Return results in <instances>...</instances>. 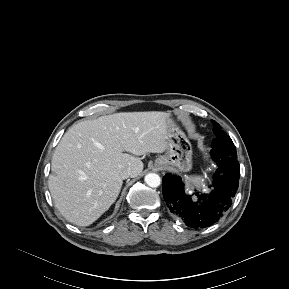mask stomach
I'll return each mask as SVG.
<instances>
[{
  "label": "stomach",
  "instance_id": "1",
  "mask_svg": "<svg viewBox=\"0 0 289 289\" xmlns=\"http://www.w3.org/2000/svg\"><path fill=\"white\" fill-rule=\"evenodd\" d=\"M170 136L167 139L166 153L155 160L156 168L170 167L180 172L192 168V146L184 132L170 117Z\"/></svg>",
  "mask_w": 289,
  "mask_h": 289
}]
</instances>
